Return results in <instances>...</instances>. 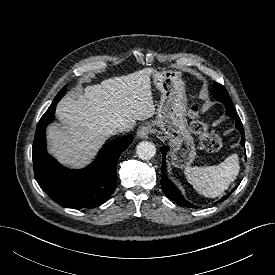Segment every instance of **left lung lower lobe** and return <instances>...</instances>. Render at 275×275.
I'll list each match as a JSON object with an SVG mask.
<instances>
[{"label":"left lung lower lobe","instance_id":"1","mask_svg":"<svg viewBox=\"0 0 275 275\" xmlns=\"http://www.w3.org/2000/svg\"><path fill=\"white\" fill-rule=\"evenodd\" d=\"M220 102H222L225 105L227 115L232 117L236 121V128L240 131L241 137H242L240 144L242 146H244L245 135H244L243 125L241 123V120H240L238 114L236 113V111L234 109L232 100H223ZM168 150H169L168 147H161V152L164 157L166 156V153ZM161 172H162V177H161V181H160L161 187L168 198L172 199L179 206L198 208L197 206H194V205L190 204L187 200H185L182 197V195L180 194L179 190L176 188V186L167 178L166 173H165V162L162 164ZM236 188H237V186L234 187L230 193H228L227 195L222 197L218 202H222L227 197H229L231 195V193Z\"/></svg>","mask_w":275,"mask_h":275}]
</instances>
